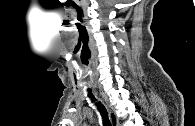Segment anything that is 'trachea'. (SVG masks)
<instances>
[{"label": "trachea", "instance_id": "trachea-1", "mask_svg": "<svg viewBox=\"0 0 195 126\" xmlns=\"http://www.w3.org/2000/svg\"><path fill=\"white\" fill-rule=\"evenodd\" d=\"M88 97H90L91 101L94 102L90 89H88ZM96 105H97V108H98V110H99V112L102 116L103 125L104 126H110V121L108 119V114H107L106 109L99 103H96Z\"/></svg>", "mask_w": 195, "mask_h": 126}]
</instances>
